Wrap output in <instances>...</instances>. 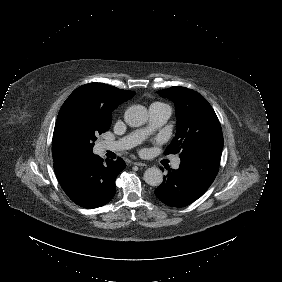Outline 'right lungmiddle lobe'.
<instances>
[{
  "label": "right lung middle lobe",
  "mask_w": 282,
  "mask_h": 282,
  "mask_svg": "<svg viewBox=\"0 0 282 282\" xmlns=\"http://www.w3.org/2000/svg\"><path fill=\"white\" fill-rule=\"evenodd\" d=\"M116 107L110 103L82 101L60 109L53 134L58 154L64 159L92 154L97 136L110 128L111 113Z\"/></svg>",
  "instance_id": "dd1d6c3e"
}]
</instances>
